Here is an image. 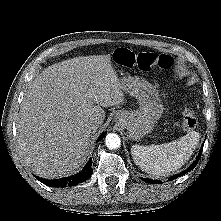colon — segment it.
<instances>
[{"mask_svg": "<svg viewBox=\"0 0 221 221\" xmlns=\"http://www.w3.org/2000/svg\"><path fill=\"white\" fill-rule=\"evenodd\" d=\"M115 60L127 67H135L142 71H149L155 67L168 69L173 64L169 55H157L151 52L136 53L126 48H118L114 54ZM182 126L192 130L197 126V118L191 106H185L182 112Z\"/></svg>", "mask_w": 221, "mask_h": 221, "instance_id": "5ec220e1", "label": "colon"}]
</instances>
